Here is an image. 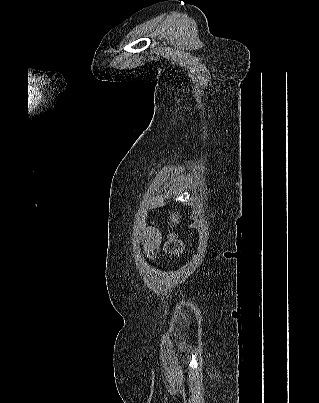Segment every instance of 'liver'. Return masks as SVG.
Returning a JSON list of instances; mask_svg holds the SVG:
<instances>
[{
    "label": "liver",
    "instance_id": "6515ba94",
    "mask_svg": "<svg viewBox=\"0 0 319 403\" xmlns=\"http://www.w3.org/2000/svg\"><path fill=\"white\" fill-rule=\"evenodd\" d=\"M179 219H180V217H179V214L177 213V214H170V220H171V222L170 223H168V224H171V223H174L175 225H177L178 223H179Z\"/></svg>",
    "mask_w": 319,
    "mask_h": 403
}]
</instances>
